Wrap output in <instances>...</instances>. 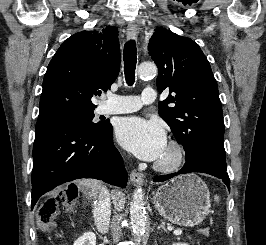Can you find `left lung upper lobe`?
<instances>
[{"mask_svg": "<svg viewBox=\"0 0 266 245\" xmlns=\"http://www.w3.org/2000/svg\"><path fill=\"white\" fill-rule=\"evenodd\" d=\"M148 50L158 66L159 92L165 88L170 90L168 97L159 103L158 113L183 145L186 161L206 144L224 150L223 113L217 82L197 43L157 27Z\"/></svg>", "mask_w": 266, "mask_h": 245, "instance_id": "1", "label": "left lung upper lobe"}]
</instances>
